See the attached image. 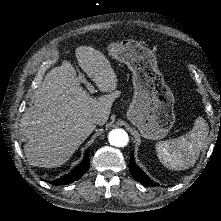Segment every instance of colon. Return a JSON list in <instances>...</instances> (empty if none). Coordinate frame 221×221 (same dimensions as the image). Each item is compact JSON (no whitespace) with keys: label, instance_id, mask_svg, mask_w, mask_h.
Segmentation results:
<instances>
[{"label":"colon","instance_id":"obj_1","mask_svg":"<svg viewBox=\"0 0 221 221\" xmlns=\"http://www.w3.org/2000/svg\"><path fill=\"white\" fill-rule=\"evenodd\" d=\"M63 52H64V53H67L68 51H67V49H63Z\"/></svg>","mask_w":221,"mask_h":221}]
</instances>
